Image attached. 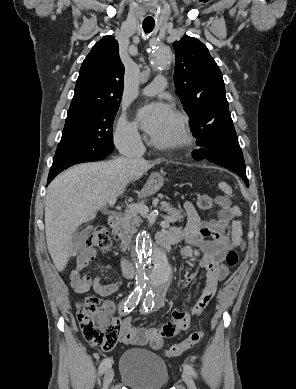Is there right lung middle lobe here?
I'll use <instances>...</instances> for the list:
<instances>
[{
  "instance_id": "dd1d6c3e",
  "label": "right lung middle lobe",
  "mask_w": 296,
  "mask_h": 389,
  "mask_svg": "<svg viewBox=\"0 0 296 389\" xmlns=\"http://www.w3.org/2000/svg\"><path fill=\"white\" fill-rule=\"evenodd\" d=\"M119 106L97 108L84 116L66 119L51 168L98 161L114 149L112 125Z\"/></svg>"
}]
</instances>
